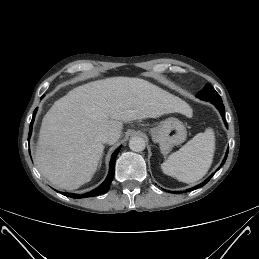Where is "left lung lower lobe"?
I'll list each match as a JSON object with an SVG mask.
<instances>
[{
	"label": "left lung lower lobe",
	"mask_w": 259,
	"mask_h": 259,
	"mask_svg": "<svg viewBox=\"0 0 259 259\" xmlns=\"http://www.w3.org/2000/svg\"><path fill=\"white\" fill-rule=\"evenodd\" d=\"M212 103L218 108V110L220 111V114L222 115V117L224 119V122H225V118H224V115H225V111L224 110H225V108H224V105H223L222 101H213ZM225 125H226V127H228L226 122H225ZM227 155H228V150L226 152L225 158H224L221 166L225 163ZM217 170H219V168ZM213 175H214V173L210 177H208L203 183H201L200 185H197L196 187H194V189L199 188L200 186H204L210 180V178ZM189 191H190V189H189Z\"/></svg>",
	"instance_id": "left-lung-lower-lobe-1"
}]
</instances>
